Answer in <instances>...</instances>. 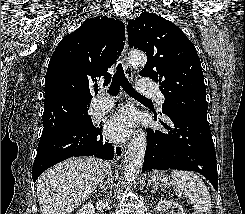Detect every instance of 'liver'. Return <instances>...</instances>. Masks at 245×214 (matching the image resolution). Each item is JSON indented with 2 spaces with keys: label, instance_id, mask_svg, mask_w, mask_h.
Instances as JSON below:
<instances>
[{
  "label": "liver",
  "instance_id": "6515ba94",
  "mask_svg": "<svg viewBox=\"0 0 245 214\" xmlns=\"http://www.w3.org/2000/svg\"><path fill=\"white\" fill-rule=\"evenodd\" d=\"M110 169L94 157L72 158L48 169L37 180L41 214H71L84 203Z\"/></svg>",
  "mask_w": 245,
  "mask_h": 214
}]
</instances>
